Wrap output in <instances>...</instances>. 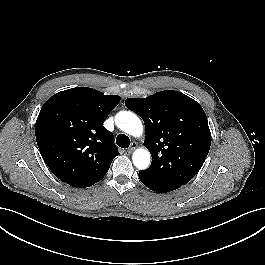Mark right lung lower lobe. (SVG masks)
<instances>
[{
    "label": "right lung lower lobe",
    "mask_w": 265,
    "mask_h": 265,
    "mask_svg": "<svg viewBox=\"0 0 265 265\" xmlns=\"http://www.w3.org/2000/svg\"><path fill=\"white\" fill-rule=\"evenodd\" d=\"M102 179V178H101ZM101 179H98V180H96V181H94V182H91V183H89V184H86V185H83V186H79V187H89V186H91V185H93V184H95V183H97L98 181H100Z\"/></svg>",
    "instance_id": "98d812e1"
}]
</instances>
